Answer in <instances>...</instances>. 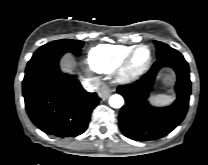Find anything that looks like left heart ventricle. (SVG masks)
Wrapping results in <instances>:
<instances>
[{"label": "left heart ventricle", "instance_id": "b2bd125f", "mask_svg": "<svg viewBox=\"0 0 208 165\" xmlns=\"http://www.w3.org/2000/svg\"><path fill=\"white\" fill-rule=\"evenodd\" d=\"M148 56H149V53L146 49L139 50L135 57V63L137 65L144 64L147 61Z\"/></svg>", "mask_w": 208, "mask_h": 165}]
</instances>
